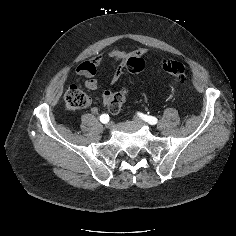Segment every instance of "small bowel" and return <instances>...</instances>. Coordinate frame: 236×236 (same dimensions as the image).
Returning <instances> with one entry per match:
<instances>
[{"instance_id":"c3829d8e","label":"small bowel","mask_w":236,"mask_h":236,"mask_svg":"<svg viewBox=\"0 0 236 236\" xmlns=\"http://www.w3.org/2000/svg\"><path fill=\"white\" fill-rule=\"evenodd\" d=\"M147 49L139 48L133 51H124L121 49H111L108 51L109 57L112 59L114 63L117 64V67L112 76V84L118 82L121 76L124 73V70L127 66V62L131 57H143L146 55ZM102 62V55L96 54L90 61H84L80 63L76 68V73L80 76H84L87 78L85 82V86L89 90H97L98 82L95 79V75L97 73L98 68L100 67ZM113 93L111 90H104L102 93L103 103L104 105H108ZM90 112L92 114L98 113V108L96 106L90 107Z\"/></svg>"}]
</instances>
